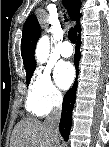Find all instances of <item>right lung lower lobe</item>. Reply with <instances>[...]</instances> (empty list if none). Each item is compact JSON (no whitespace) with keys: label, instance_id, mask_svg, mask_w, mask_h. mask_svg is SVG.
I'll return each instance as SVG.
<instances>
[{"label":"right lung lower lobe","instance_id":"98d812e1","mask_svg":"<svg viewBox=\"0 0 109 147\" xmlns=\"http://www.w3.org/2000/svg\"><path fill=\"white\" fill-rule=\"evenodd\" d=\"M81 29L78 31L80 32ZM81 44L80 41V34L78 35V42L76 45V52L74 55V61H75V66L78 69V62L80 59V52H79V46ZM76 89H77V80L75 81L73 87L65 94L64 100H63V106H62V115H61V120H60V133L62 137L67 141L71 124H72V110L74 107L75 103V94H76Z\"/></svg>","mask_w":109,"mask_h":147}]
</instances>
